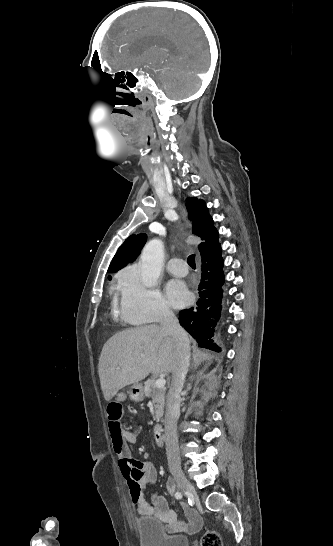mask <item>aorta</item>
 <instances>
[{"label":"aorta","mask_w":333,"mask_h":546,"mask_svg":"<svg viewBox=\"0 0 333 546\" xmlns=\"http://www.w3.org/2000/svg\"><path fill=\"white\" fill-rule=\"evenodd\" d=\"M164 261V245L160 239L149 241L140 257L142 283L146 287H154L159 279Z\"/></svg>","instance_id":"1"}]
</instances>
